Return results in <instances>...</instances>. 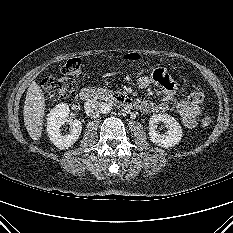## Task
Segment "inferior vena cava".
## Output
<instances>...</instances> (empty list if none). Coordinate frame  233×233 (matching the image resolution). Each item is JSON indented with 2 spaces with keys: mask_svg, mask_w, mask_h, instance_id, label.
Wrapping results in <instances>:
<instances>
[{
  "mask_svg": "<svg viewBox=\"0 0 233 233\" xmlns=\"http://www.w3.org/2000/svg\"><path fill=\"white\" fill-rule=\"evenodd\" d=\"M84 108L88 116L97 118L102 113L103 103L89 100L85 103Z\"/></svg>",
  "mask_w": 233,
  "mask_h": 233,
  "instance_id": "602c4592",
  "label": "inferior vena cava"
}]
</instances>
